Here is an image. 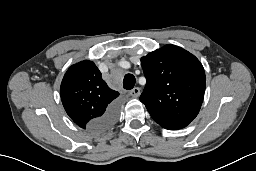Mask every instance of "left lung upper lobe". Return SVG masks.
I'll use <instances>...</instances> for the list:
<instances>
[{
    "label": "left lung upper lobe",
    "instance_id": "5c2ea615",
    "mask_svg": "<svg viewBox=\"0 0 256 171\" xmlns=\"http://www.w3.org/2000/svg\"><path fill=\"white\" fill-rule=\"evenodd\" d=\"M146 86L140 96L151 117L163 128L186 127L199 113L205 72L199 60L175 45L141 58Z\"/></svg>",
    "mask_w": 256,
    "mask_h": 171
}]
</instances>
